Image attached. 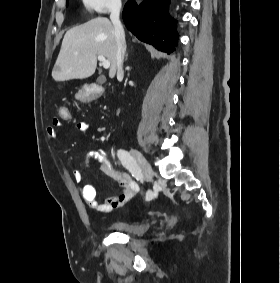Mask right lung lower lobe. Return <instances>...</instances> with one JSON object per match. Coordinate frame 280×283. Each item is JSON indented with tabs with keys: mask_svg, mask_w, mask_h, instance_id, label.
<instances>
[{
	"mask_svg": "<svg viewBox=\"0 0 280 283\" xmlns=\"http://www.w3.org/2000/svg\"><path fill=\"white\" fill-rule=\"evenodd\" d=\"M170 0H129L123 10L126 27L141 41L168 54L178 40L176 21L169 17Z\"/></svg>",
	"mask_w": 280,
	"mask_h": 283,
	"instance_id": "obj_1",
	"label": "right lung lower lobe"
}]
</instances>
